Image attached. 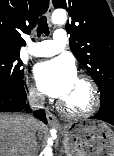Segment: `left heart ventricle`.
I'll return each instance as SVG.
<instances>
[{
	"label": "left heart ventricle",
	"instance_id": "left-heart-ventricle-1",
	"mask_svg": "<svg viewBox=\"0 0 114 156\" xmlns=\"http://www.w3.org/2000/svg\"><path fill=\"white\" fill-rule=\"evenodd\" d=\"M62 101L73 111L85 110L91 102L90 90L85 83L77 79L69 94Z\"/></svg>",
	"mask_w": 114,
	"mask_h": 156
}]
</instances>
